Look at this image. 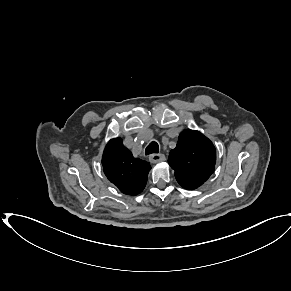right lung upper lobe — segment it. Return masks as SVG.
Returning <instances> with one entry per match:
<instances>
[{
	"mask_svg": "<svg viewBox=\"0 0 291 291\" xmlns=\"http://www.w3.org/2000/svg\"><path fill=\"white\" fill-rule=\"evenodd\" d=\"M103 170L108 180L122 193L138 195L146 186L150 164L133 157L121 138L108 142L102 156Z\"/></svg>",
	"mask_w": 291,
	"mask_h": 291,
	"instance_id": "cb5924a9",
	"label": "right lung upper lobe"
}]
</instances>
